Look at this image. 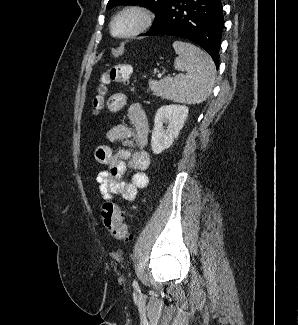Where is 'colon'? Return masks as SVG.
<instances>
[{
    "mask_svg": "<svg viewBox=\"0 0 298 325\" xmlns=\"http://www.w3.org/2000/svg\"><path fill=\"white\" fill-rule=\"evenodd\" d=\"M132 72L130 64L121 62L111 65L100 77L98 94L93 99L94 113H98L104 106L106 85L110 82L125 85L128 83ZM101 218L109 234L117 240L129 237L128 227L124 222L123 213L119 206L112 201H106L101 207Z\"/></svg>",
    "mask_w": 298,
    "mask_h": 325,
    "instance_id": "1",
    "label": "colon"
}]
</instances>
